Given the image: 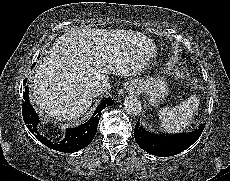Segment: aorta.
I'll return each instance as SVG.
<instances>
[{
  "mask_svg": "<svg viewBox=\"0 0 230 181\" xmlns=\"http://www.w3.org/2000/svg\"><path fill=\"white\" fill-rule=\"evenodd\" d=\"M124 110L130 115H138L141 112V101L135 96H128L124 100Z\"/></svg>",
  "mask_w": 230,
  "mask_h": 181,
  "instance_id": "762f6f07",
  "label": "aorta"
}]
</instances>
